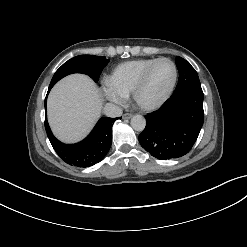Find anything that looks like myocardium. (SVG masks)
Returning a JSON list of instances; mask_svg holds the SVG:
<instances>
[{
	"instance_id": "myocardium-1",
	"label": "myocardium",
	"mask_w": 247,
	"mask_h": 247,
	"mask_svg": "<svg viewBox=\"0 0 247 247\" xmlns=\"http://www.w3.org/2000/svg\"><path fill=\"white\" fill-rule=\"evenodd\" d=\"M160 61H167L169 62L172 67H173V79L171 81V84L168 88V90L166 91V93L163 95V97L161 99H159L158 101L151 103V104H147V103H143L140 100V93L145 85V82L147 80V77L150 73V71L152 70V68ZM177 79H178V69L177 66L175 64L174 61H172L170 58L167 57H160V58H156L153 62H151L141 73V75L139 76L137 82L135 83L131 95H132V99L133 102L135 103V105L143 110V111H147V112H151V111H155L159 108H161L170 98V96L173 93V90L176 86L177 83Z\"/></svg>"
}]
</instances>
